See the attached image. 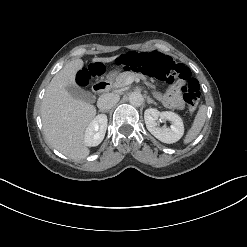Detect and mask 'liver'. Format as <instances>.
I'll return each mask as SVG.
<instances>
[{
	"instance_id": "liver-1",
	"label": "liver",
	"mask_w": 247,
	"mask_h": 247,
	"mask_svg": "<svg viewBox=\"0 0 247 247\" xmlns=\"http://www.w3.org/2000/svg\"><path fill=\"white\" fill-rule=\"evenodd\" d=\"M116 57L93 58L92 62L108 63ZM83 65L82 59L67 63L52 78L41 106L43 130L48 142L74 160L84 159L90 153L84 137L86 128L96 115L94 105L73 98L67 91V87L77 86L75 76Z\"/></svg>"
}]
</instances>
